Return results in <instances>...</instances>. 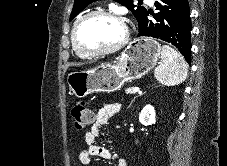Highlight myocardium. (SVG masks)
I'll return each instance as SVG.
<instances>
[{"label":"myocardium","mask_w":227,"mask_h":166,"mask_svg":"<svg viewBox=\"0 0 227 166\" xmlns=\"http://www.w3.org/2000/svg\"><path fill=\"white\" fill-rule=\"evenodd\" d=\"M94 16H106V17H110L113 18L117 21H119L124 29V34L122 39L115 45L108 47V48H103V49H97V50H87L82 48L79 43L77 42V30L78 27L87 19L94 17ZM129 40V29L127 26V23L124 19V17L115 11H111V10H95V11H91L85 15H83L82 17H80L74 24L72 31H71V43H72V47L74 49V51L79 54L80 56L83 57H99V56H105V55H109L112 54L118 50H120L121 48H123L127 42Z\"/></svg>","instance_id":"f54148a6"}]
</instances>
